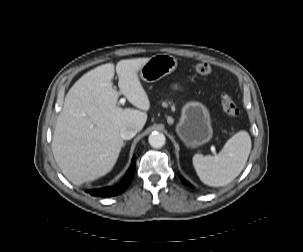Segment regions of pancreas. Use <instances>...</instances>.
<instances>
[{
  "label": "pancreas",
  "instance_id": "obj_1",
  "mask_svg": "<svg viewBox=\"0 0 303 252\" xmlns=\"http://www.w3.org/2000/svg\"><path fill=\"white\" fill-rule=\"evenodd\" d=\"M171 106V109L174 111L175 110V104L173 103L172 100H164L162 101V106L163 107H167V106Z\"/></svg>",
  "mask_w": 303,
  "mask_h": 252
}]
</instances>
